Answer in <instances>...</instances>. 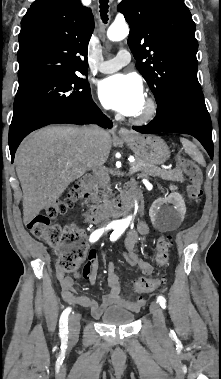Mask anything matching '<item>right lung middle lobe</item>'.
<instances>
[{
	"label": "right lung middle lobe",
	"mask_w": 221,
	"mask_h": 379,
	"mask_svg": "<svg viewBox=\"0 0 221 379\" xmlns=\"http://www.w3.org/2000/svg\"><path fill=\"white\" fill-rule=\"evenodd\" d=\"M91 99L89 83L76 72L20 82L9 128V143H14L43 121L81 107Z\"/></svg>",
	"instance_id": "right-lung-middle-lobe-1"
}]
</instances>
